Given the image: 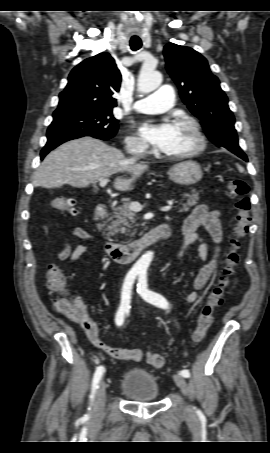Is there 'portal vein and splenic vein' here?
Instances as JSON below:
<instances>
[{
  "instance_id": "obj_1",
  "label": "portal vein and splenic vein",
  "mask_w": 270,
  "mask_h": 453,
  "mask_svg": "<svg viewBox=\"0 0 270 453\" xmlns=\"http://www.w3.org/2000/svg\"><path fill=\"white\" fill-rule=\"evenodd\" d=\"M107 183H108V179H106V178H102V179L99 180V185L101 187H105ZM172 205H173V202L169 201L168 202V206H164L160 210L161 211H169L172 208ZM142 208H143V206L140 203H138V202H133V203H131L129 205V209L131 211H134V212H139V211L142 210Z\"/></svg>"
}]
</instances>
